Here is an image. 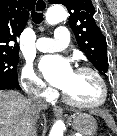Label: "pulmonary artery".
I'll use <instances>...</instances> for the list:
<instances>
[{"instance_id": "1", "label": "pulmonary artery", "mask_w": 117, "mask_h": 136, "mask_svg": "<svg viewBox=\"0 0 117 136\" xmlns=\"http://www.w3.org/2000/svg\"><path fill=\"white\" fill-rule=\"evenodd\" d=\"M69 31L64 26L56 28L53 37H41L36 42V48L41 52H54L69 45Z\"/></svg>"}]
</instances>
